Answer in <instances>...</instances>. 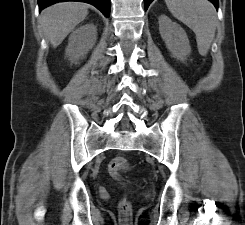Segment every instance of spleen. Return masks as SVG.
I'll return each mask as SVG.
<instances>
[{
	"label": "spleen",
	"instance_id": "3e777b00",
	"mask_svg": "<svg viewBox=\"0 0 245 225\" xmlns=\"http://www.w3.org/2000/svg\"><path fill=\"white\" fill-rule=\"evenodd\" d=\"M174 17L196 34L198 52L205 56L215 37L217 16L208 0H165Z\"/></svg>",
	"mask_w": 245,
	"mask_h": 225
}]
</instances>
